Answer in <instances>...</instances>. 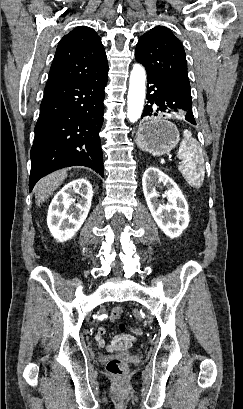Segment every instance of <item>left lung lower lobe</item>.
I'll list each match as a JSON object with an SVG mask.
<instances>
[{
    "label": "left lung lower lobe",
    "mask_w": 243,
    "mask_h": 409,
    "mask_svg": "<svg viewBox=\"0 0 243 409\" xmlns=\"http://www.w3.org/2000/svg\"><path fill=\"white\" fill-rule=\"evenodd\" d=\"M147 81L148 104L144 107L141 118L177 112L188 122L196 125L190 90L153 75H147Z\"/></svg>",
    "instance_id": "obj_1"
}]
</instances>
